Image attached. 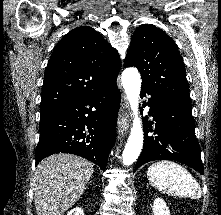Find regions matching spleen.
I'll return each mask as SVG.
<instances>
[{
	"label": "spleen",
	"instance_id": "obj_1",
	"mask_svg": "<svg viewBox=\"0 0 221 215\" xmlns=\"http://www.w3.org/2000/svg\"><path fill=\"white\" fill-rule=\"evenodd\" d=\"M150 184L168 195H177L198 199L201 188L192 174L183 166L161 161L152 164L147 171Z\"/></svg>",
	"mask_w": 221,
	"mask_h": 215
}]
</instances>
